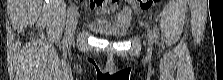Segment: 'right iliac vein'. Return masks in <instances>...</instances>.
Returning <instances> with one entry per match:
<instances>
[{"instance_id":"63e3f726","label":"right iliac vein","mask_w":223,"mask_h":80,"mask_svg":"<svg viewBox=\"0 0 223 80\" xmlns=\"http://www.w3.org/2000/svg\"><path fill=\"white\" fill-rule=\"evenodd\" d=\"M77 23H78V13L75 12V13L73 14V17H72V19H71V23H70V26H69L68 40L71 39V38L73 37V34H74V32H75Z\"/></svg>"}]
</instances>
